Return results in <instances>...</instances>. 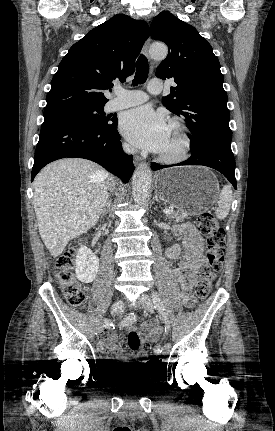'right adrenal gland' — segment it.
<instances>
[{"instance_id":"1","label":"right adrenal gland","mask_w":275,"mask_h":431,"mask_svg":"<svg viewBox=\"0 0 275 431\" xmlns=\"http://www.w3.org/2000/svg\"><path fill=\"white\" fill-rule=\"evenodd\" d=\"M110 206H111V199L107 200V202H106V204L102 210L101 217H104V215L108 212Z\"/></svg>"}]
</instances>
